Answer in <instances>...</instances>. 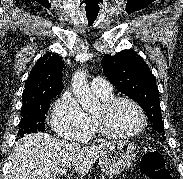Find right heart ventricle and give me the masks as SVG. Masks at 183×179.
Here are the masks:
<instances>
[{
	"label": "right heart ventricle",
	"mask_w": 183,
	"mask_h": 179,
	"mask_svg": "<svg viewBox=\"0 0 183 179\" xmlns=\"http://www.w3.org/2000/svg\"><path fill=\"white\" fill-rule=\"evenodd\" d=\"M96 95L102 100V101H105V100H108L112 97V92L109 93V94H97ZM93 123V128H94V120L92 117H89Z\"/></svg>",
	"instance_id": "obj_1"
}]
</instances>
